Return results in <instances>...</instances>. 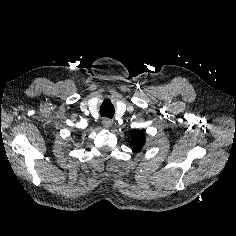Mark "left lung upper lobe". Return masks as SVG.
<instances>
[{
  "label": "left lung upper lobe",
  "mask_w": 236,
  "mask_h": 236,
  "mask_svg": "<svg viewBox=\"0 0 236 236\" xmlns=\"http://www.w3.org/2000/svg\"><path fill=\"white\" fill-rule=\"evenodd\" d=\"M131 146L134 152H138L145 144V137L140 131H133L131 133Z\"/></svg>",
  "instance_id": "5c2ea615"
}]
</instances>
